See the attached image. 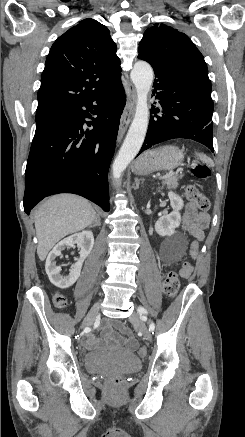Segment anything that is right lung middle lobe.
<instances>
[{"instance_id":"1","label":"right lung middle lobe","mask_w":245,"mask_h":437,"mask_svg":"<svg viewBox=\"0 0 245 437\" xmlns=\"http://www.w3.org/2000/svg\"><path fill=\"white\" fill-rule=\"evenodd\" d=\"M55 109V108H54ZM53 109H49V110H43V111H37L36 114V122L40 121L41 119H43L49 112H51Z\"/></svg>"}]
</instances>
